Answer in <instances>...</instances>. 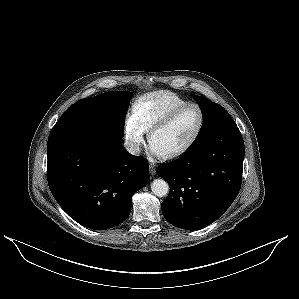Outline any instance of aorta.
Segmentation results:
<instances>
[{
    "label": "aorta",
    "instance_id": "obj_1",
    "mask_svg": "<svg viewBox=\"0 0 299 299\" xmlns=\"http://www.w3.org/2000/svg\"><path fill=\"white\" fill-rule=\"evenodd\" d=\"M151 190H152L153 194L156 195L157 197H163L168 194L169 185L163 179H155L151 183Z\"/></svg>",
    "mask_w": 299,
    "mask_h": 299
}]
</instances>
